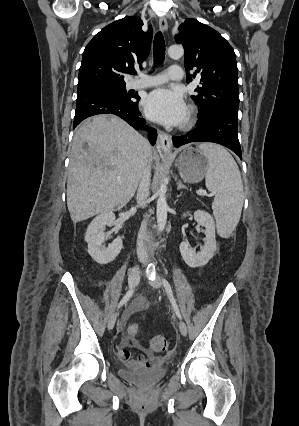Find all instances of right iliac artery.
Listing matches in <instances>:
<instances>
[{"label":"right iliac artery","instance_id":"82829eb1","mask_svg":"<svg viewBox=\"0 0 299 426\" xmlns=\"http://www.w3.org/2000/svg\"><path fill=\"white\" fill-rule=\"evenodd\" d=\"M133 293H134V290L133 289H130L126 294H125V296L122 298V300L119 302V304H118V308H120L121 306H123L127 301H129L130 300V298L132 297V295H133Z\"/></svg>","mask_w":299,"mask_h":426}]
</instances>
